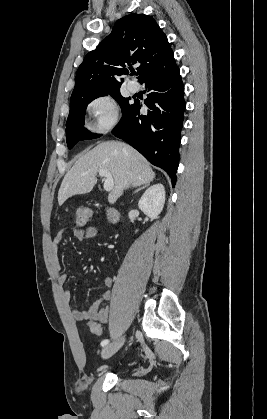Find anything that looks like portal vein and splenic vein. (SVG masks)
<instances>
[{
  "instance_id": "portal-vein-and-splenic-vein-1",
  "label": "portal vein and splenic vein",
  "mask_w": 267,
  "mask_h": 419,
  "mask_svg": "<svg viewBox=\"0 0 267 419\" xmlns=\"http://www.w3.org/2000/svg\"><path fill=\"white\" fill-rule=\"evenodd\" d=\"M99 175L105 178L104 190L111 191L114 187V180H113L112 174L107 169H101L99 171Z\"/></svg>"
}]
</instances>
